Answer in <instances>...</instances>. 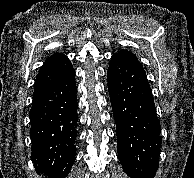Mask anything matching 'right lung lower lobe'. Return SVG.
<instances>
[{
  "instance_id": "98d812e1",
  "label": "right lung lower lobe",
  "mask_w": 194,
  "mask_h": 178,
  "mask_svg": "<svg viewBox=\"0 0 194 178\" xmlns=\"http://www.w3.org/2000/svg\"><path fill=\"white\" fill-rule=\"evenodd\" d=\"M76 92L74 69L57 80L34 85L31 159L50 178H65L76 157Z\"/></svg>"
}]
</instances>
